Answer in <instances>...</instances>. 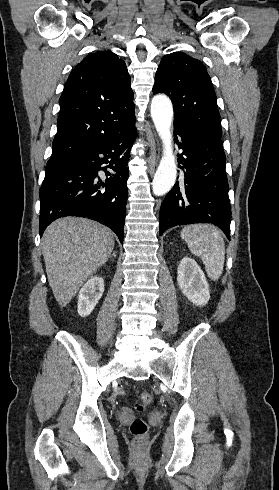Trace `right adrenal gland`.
Instances as JSON below:
<instances>
[{"label":"right adrenal gland","instance_id":"1","mask_svg":"<svg viewBox=\"0 0 279 490\" xmlns=\"http://www.w3.org/2000/svg\"><path fill=\"white\" fill-rule=\"evenodd\" d=\"M112 256H114V258H116V252H113Z\"/></svg>","mask_w":279,"mask_h":490}]
</instances>
